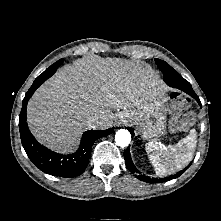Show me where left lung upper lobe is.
Listing matches in <instances>:
<instances>
[{"label":"left lung upper lobe","instance_id":"5c2ea615","mask_svg":"<svg viewBox=\"0 0 221 221\" xmlns=\"http://www.w3.org/2000/svg\"><path fill=\"white\" fill-rule=\"evenodd\" d=\"M159 69L162 71L164 76V81L169 84L172 82L179 81L182 77L165 61L160 59H155Z\"/></svg>","mask_w":221,"mask_h":221}]
</instances>
